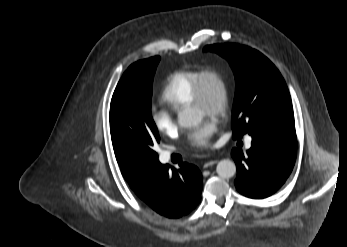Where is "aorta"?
<instances>
[{"mask_svg": "<svg viewBox=\"0 0 347 247\" xmlns=\"http://www.w3.org/2000/svg\"><path fill=\"white\" fill-rule=\"evenodd\" d=\"M202 121V114L193 108H186L178 114V124L183 128H190L198 125ZM217 174L225 179L233 177L236 173V165L229 159L218 162Z\"/></svg>", "mask_w": 347, "mask_h": 247, "instance_id": "1", "label": "aorta"}]
</instances>
